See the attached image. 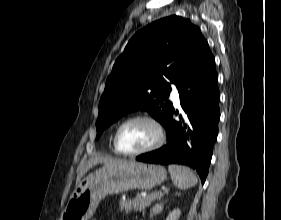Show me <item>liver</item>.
<instances>
[{
    "label": "liver",
    "mask_w": 281,
    "mask_h": 220,
    "mask_svg": "<svg viewBox=\"0 0 281 220\" xmlns=\"http://www.w3.org/2000/svg\"><path fill=\"white\" fill-rule=\"evenodd\" d=\"M98 163H103L104 167L106 168H113V167H118L122 165H126L129 162L123 159H115L107 156H102L99 154H96L92 156L89 161L82 167L80 172L78 173L77 176V181H76V186H78L81 183L82 177L95 165Z\"/></svg>",
    "instance_id": "1"
}]
</instances>
